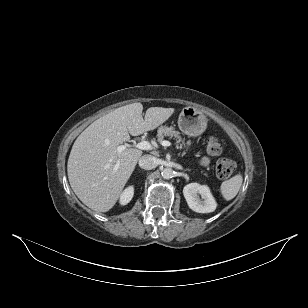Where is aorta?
<instances>
[{
    "label": "aorta",
    "instance_id": "aorta-1",
    "mask_svg": "<svg viewBox=\"0 0 308 308\" xmlns=\"http://www.w3.org/2000/svg\"><path fill=\"white\" fill-rule=\"evenodd\" d=\"M174 171L171 168H164L161 172V175L164 179L172 178Z\"/></svg>",
    "mask_w": 308,
    "mask_h": 308
}]
</instances>
